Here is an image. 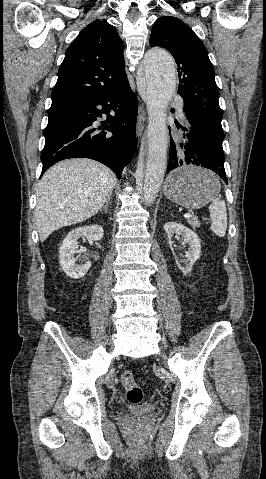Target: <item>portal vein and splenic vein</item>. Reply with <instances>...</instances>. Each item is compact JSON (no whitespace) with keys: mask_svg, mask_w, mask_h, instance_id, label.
<instances>
[{"mask_svg":"<svg viewBox=\"0 0 266 479\" xmlns=\"http://www.w3.org/2000/svg\"><path fill=\"white\" fill-rule=\"evenodd\" d=\"M184 217H185V218H191L192 215H191V213H185V214H184Z\"/></svg>","mask_w":266,"mask_h":479,"instance_id":"1","label":"portal vein and splenic vein"}]
</instances>
